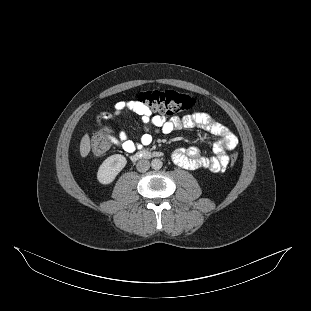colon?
Returning a JSON list of instances; mask_svg holds the SVG:
<instances>
[{"label": "colon", "instance_id": "colon-1", "mask_svg": "<svg viewBox=\"0 0 311 311\" xmlns=\"http://www.w3.org/2000/svg\"><path fill=\"white\" fill-rule=\"evenodd\" d=\"M137 98L139 102L148 106L151 110L166 115H174L186 111L190 109L195 102L193 97L173 90L143 91L137 95ZM111 142L108 130L103 129L97 132L91 145L92 156L98 158L106 154L111 146ZM237 159V152H232L229 165L234 166Z\"/></svg>", "mask_w": 311, "mask_h": 311}]
</instances>
